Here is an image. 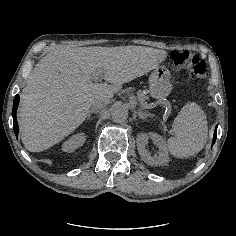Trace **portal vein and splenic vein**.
I'll use <instances>...</instances> for the list:
<instances>
[{
    "label": "portal vein and splenic vein",
    "mask_w": 236,
    "mask_h": 236,
    "mask_svg": "<svg viewBox=\"0 0 236 236\" xmlns=\"http://www.w3.org/2000/svg\"><path fill=\"white\" fill-rule=\"evenodd\" d=\"M101 79H102V73H100V72H96V73L92 74V76H91V80L93 82H98Z\"/></svg>",
    "instance_id": "portal-vein-and-splenic-vein-1"
}]
</instances>
